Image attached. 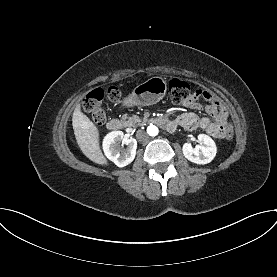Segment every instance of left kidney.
<instances>
[{"label":"left kidney","mask_w":277,"mask_h":277,"mask_svg":"<svg viewBox=\"0 0 277 277\" xmlns=\"http://www.w3.org/2000/svg\"><path fill=\"white\" fill-rule=\"evenodd\" d=\"M200 145L192 147L190 143L183 145L182 151L186 159L196 164L210 163L217 153V147L211 137L205 134L198 135Z\"/></svg>","instance_id":"5707ae66"}]
</instances>
